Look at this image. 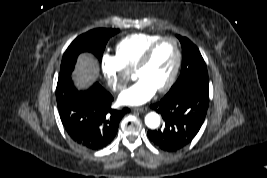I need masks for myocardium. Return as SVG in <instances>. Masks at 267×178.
<instances>
[{"mask_svg": "<svg viewBox=\"0 0 267 178\" xmlns=\"http://www.w3.org/2000/svg\"><path fill=\"white\" fill-rule=\"evenodd\" d=\"M172 41L174 46H175V50H176V60H175V64L173 67V70L171 72L170 77L168 78V80L166 81L165 84H163L160 88L157 89L158 92H164L167 91L168 89H170L172 87V85L174 84L177 75L179 73L180 67H181V63H182V50H181V46L179 41L177 40V38H175L174 36H162L161 38H159L158 40H156L155 42H153L148 48L147 50L144 52V54L142 55L141 59L139 60L136 68H135V72H138L139 70L143 69L144 67H146L149 62L151 61L156 49L159 47L160 44H162L164 41Z\"/></svg>", "mask_w": 267, "mask_h": 178, "instance_id": "obj_1", "label": "myocardium"}]
</instances>
